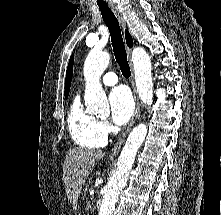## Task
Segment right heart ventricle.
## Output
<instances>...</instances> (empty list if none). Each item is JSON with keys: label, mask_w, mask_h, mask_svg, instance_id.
<instances>
[{"label": "right heart ventricle", "mask_w": 221, "mask_h": 215, "mask_svg": "<svg viewBox=\"0 0 221 215\" xmlns=\"http://www.w3.org/2000/svg\"><path fill=\"white\" fill-rule=\"evenodd\" d=\"M99 121L82 105L79 96H76L69 108L68 130L73 141L85 148L102 147L106 138L99 133Z\"/></svg>", "instance_id": "e07e8e85"}]
</instances>
